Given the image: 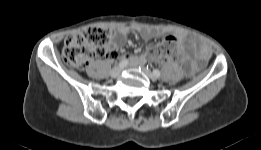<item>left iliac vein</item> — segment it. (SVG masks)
<instances>
[{"label": "left iliac vein", "instance_id": "4c4485c4", "mask_svg": "<svg viewBox=\"0 0 261 150\" xmlns=\"http://www.w3.org/2000/svg\"><path fill=\"white\" fill-rule=\"evenodd\" d=\"M141 70L151 80L156 79V77L153 75V73L149 69L145 68L144 66H141Z\"/></svg>", "mask_w": 261, "mask_h": 150}]
</instances>
